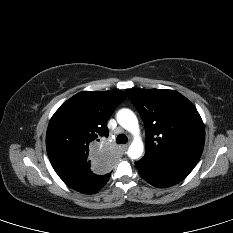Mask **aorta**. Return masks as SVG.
Listing matches in <instances>:
<instances>
[{
    "mask_svg": "<svg viewBox=\"0 0 233 233\" xmlns=\"http://www.w3.org/2000/svg\"><path fill=\"white\" fill-rule=\"evenodd\" d=\"M116 118L120 126L134 135V140L129 146L127 154L131 159H138L143 154L144 146L139 137V124L136 115L130 109H121Z\"/></svg>",
    "mask_w": 233,
    "mask_h": 233,
    "instance_id": "obj_1",
    "label": "aorta"
}]
</instances>
